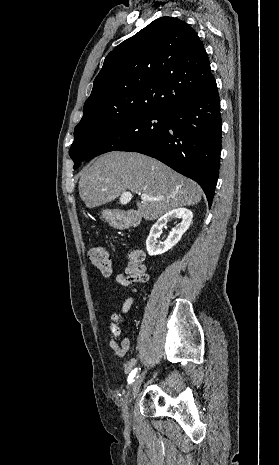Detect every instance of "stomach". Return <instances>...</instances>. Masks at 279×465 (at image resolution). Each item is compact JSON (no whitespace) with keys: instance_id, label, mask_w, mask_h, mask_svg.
<instances>
[{"instance_id":"1","label":"stomach","mask_w":279,"mask_h":465,"mask_svg":"<svg viewBox=\"0 0 279 465\" xmlns=\"http://www.w3.org/2000/svg\"><path fill=\"white\" fill-rule=\"evenodd\" d=\"M103 217L109 222L111 226L116 228H124L129 224L127 218L119 211L104 210Z\"/></svg>"}]
</instances>
